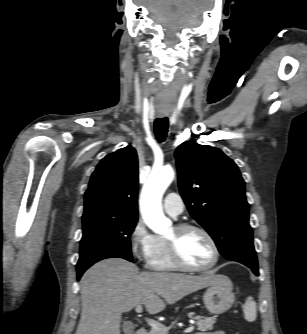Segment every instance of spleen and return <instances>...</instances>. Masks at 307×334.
I'll use <instances>...</instances> for the list:
<instances>
[{"label": "spleen", "mask_w": 307, "mask_h": 334, "mask_svg": "<svg viewBox=\"0 0 307 334\" xmlns=\"http://www.w3.org/2000/svg\"><path fill=\"white\" fill-rule=\"evenodd\" d=\"M244 317L247 321L253 322L257 317V306L253 297L249 296L243 307Z\"/></svg>", "instance_id": "3e777b00"}]
</instances>
